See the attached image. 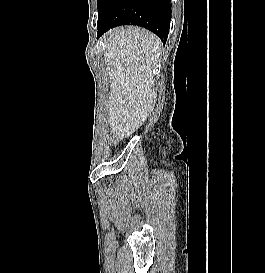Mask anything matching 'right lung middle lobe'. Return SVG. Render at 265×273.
Returning <instances> with one entry per match:
<instances>
[{
    "label": "right lung middle lobe",
    "mask_w": 265,
    "mask_h": 273,
    "mask_svg": "<svg viewBox=\"0 0 265 273\" xmlns=\"http://www.w3.org/2000/svg\"><path fill=\"white\" fill-rule=\"evenodd\" d=\"M114 0H98V22L97 26L103 21L105 18L112 2Z\"/></svg>",
    "instance_id": "1"
}]
</instances>
